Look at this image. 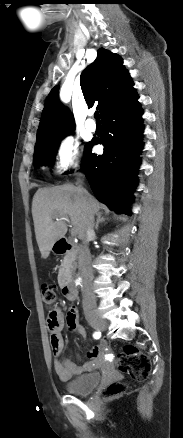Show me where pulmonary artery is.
<instances>
[{
    "label": "pulmonary artery",
    "mask_w": 183,
    "mask_h": 438,
    "mask_svg": "<svg viewBox=\"0 0 183 438\" xmlns=\"http://www.w3.org/2000/svg\"><path fill=\"white\" fill-rule=\"evenodd\" d=\"M85 127L88 131L94 132L96 130V124L93 120L88 119L85 123Z\"/></svg>",
    "instance_id": "obj_1"
}]
</instances>
